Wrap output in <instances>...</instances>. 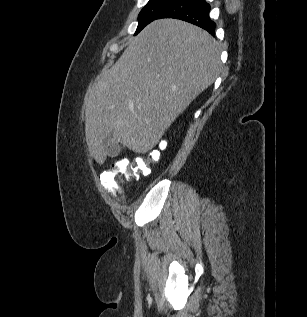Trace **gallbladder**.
<instances>
[{
  "instance_id": "obj_1",
  "label": "gallbladder",
  "mask_w": 307,
  "mask_h": 317,
  "mask_svg": "<svg viewBox=\"0 0 307 317\" xmlns=\"http://www.w3.org/2000/svg\"><path fill=\"white\" fill-rule=\"evenodd\" d=\"M110 137L111 136H109L108 137V141H109V139H110ZM120 146H119V144L118 143H112V144H110V146H109V148H108V156L109 157H116L118 154H119V152H120Z\"/></svg>"
}]
</instances>
